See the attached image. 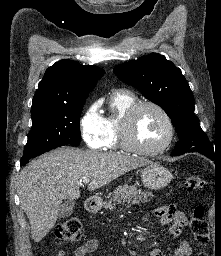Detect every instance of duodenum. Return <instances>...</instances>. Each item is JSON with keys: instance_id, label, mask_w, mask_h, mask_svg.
I'll return each mask as SVG.
<instances>
[{"instance_id": "410a0bca", "label": "duodenum", "mask_w": 221, "mask_h": 256, "mask_svg": "<svg viewBox=\"0 0 221 256\" xmlns=\"http://www.w3.org/2000/svg\"><path fill=\"white\" fill-rule=\"evenodd\" d=\"M85 208L89 212H94L97 209V202L94 199H88L85 202Z\"/></svg>"}]
</instances>
